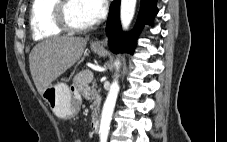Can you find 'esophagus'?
<instances>
[{"label":"esophagus","mask_w":227,"mask_h":142,"mask_svg":"<svg viewBox=\"0 0 227 142\" xmlns=\"http://www.w3.org/2000/svg\"><path fill=\"white\" fill-rule=\"evenodd\" d=\"M92 46L100 49H104L107 46V38L96 40L92 43Z\"/></svg>","instance_id":"obj_1"}]
</instances>
